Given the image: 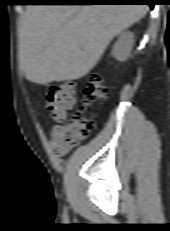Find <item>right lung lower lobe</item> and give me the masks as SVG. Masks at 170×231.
Wrapping results in <instances>:
<instances>
[{"mask_svg":"<svg viewBox=\"0 0 170 231\" xmlns=\"http://www.w3.org/2000/svg\"><path fill=\"white\" fill-rule=\"evenodd\" d=\"M31 3L67 4V5H112L143 3L153 9L155 0H28Z\"/></svg>","mask_w":170,"mask_h":231,"instance_id":"98d812e1","label":"right lung lower lobe"}]
</instances>
